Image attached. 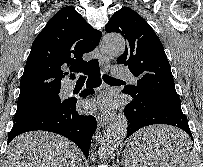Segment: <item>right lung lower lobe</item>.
<instances>
[{"label":"right lung lower lobe","instance_id":"obj_1","mask_svg":"<svg viewBox=\"0 0 203 167\" xmlns=\"http://www.w3.org/2000/svg\"><path fill=\"white\" fill-rule=\"evenodd\" d=\"M87 88L80 96L94 93L93 88L101 85L99 65L86 72ZM77 99L70 98L56 108L37 112L16 121L8 135V143L17 135L34 131H50L67 137L82 150L88 158L91 138L96 130V119L92 116L79 115L75 109Z\"/></svg>","mask_w":203,"mask_h":167}]
</instances>
